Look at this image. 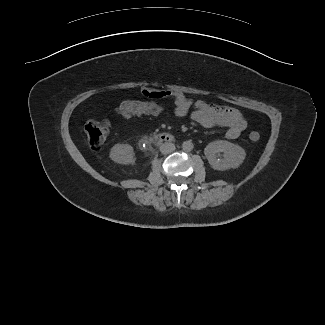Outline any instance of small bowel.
Returning <instances> with one entry per match:
<instances>
[{
	"label": "small bowel",
	"mask_w": 325,
	"mask_h": 325,
	"mask_svg": "<svg viewBox=\"0 0 325 325\" xmlns=\"http://www.w3.org/2000/svg\"><path fill=\"white\" fill-rule=\"evenodd\" d=\"M141 95L150 100L173 98L175 101L174 115L178 118L190 116L195 123L205 127H227L226 137L237 139L246 128V121L235 108L212 104L203 100L193 102L176 88L142 90ZM148 101V100H147Z\"/></svg>",
	"instance_id": "c3829d8e"
}]
</instances>
